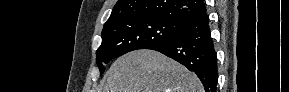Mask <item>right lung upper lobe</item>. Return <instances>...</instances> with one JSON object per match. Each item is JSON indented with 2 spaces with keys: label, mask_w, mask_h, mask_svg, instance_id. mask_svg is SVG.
Instances as JSON below:
<instances>
[{
  "label": "right lung upper lobe",
  "mask_w": 289,
  "mask_h": 92,
  "mask_svg": "<svg viewBox=\"0 0 289 92\" xmlns=\"http://www.w3.org/2000/svg\"><path fill=\"white\" fill-rule=\"evenodd\" d=\"M206 13L203 0H118L104 27L121 20L153 17L186 24Z\"/></svg>",
  "instance_id": "cb5924a9"
}]
</instances>
